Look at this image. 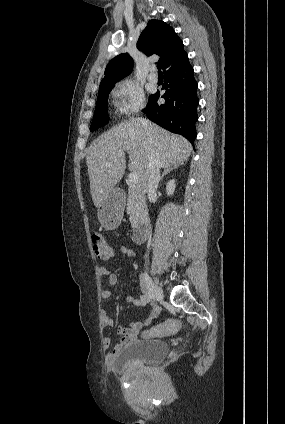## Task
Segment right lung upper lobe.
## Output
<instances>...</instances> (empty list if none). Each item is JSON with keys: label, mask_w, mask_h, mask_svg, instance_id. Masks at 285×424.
Here are the masks:
<instances>
[{"label": "right lung upper lobe", "mask_w": 285, "mask_h": 424, "mask_svg": "<svg viewBox=\"0 0 285 424\" xmlns=\"http://www.w3.org/2000/svg\"><path fill=\"white\" fill-rule=\"evenodd\" d=\"M137 48L147 56L159 55V63L164 73L187 58L182 40L168 24L159 20L148 22L137 41ZM132 67L133 61L128 53L114 57L106 66L105 76L99 88L114 85L129 75Z\"/></svg>", "instance_id": "1"}]
</instances>
